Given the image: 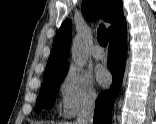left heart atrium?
<instances>
[{
  "label": "left heart atrium",
  "mask_w": 156,
  "mask_h": 124,
  "mask_svg": "<svg viewBox=\"0 0 156 124\" xmlns=\"http://www.w3.org/2000/svg\"><path fill=\"white\" fill-rule=\"evenodd\" d=\"M95 77L99 85L105 87L110 84L111 82V75L109 71L104 67H97L95 71Z\"/></svg>",
  "instance_id": "left-heart-atrium-1"
}]
</instances>
